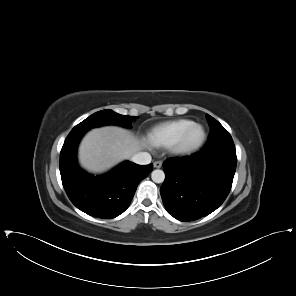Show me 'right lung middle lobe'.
Instances as JSON below:
<instances>
[{
  "mask_svg": "<svg viewBox=\"0 0 296 296\" xmlns=\"http://www.w3.org/2000/svg\"><path fill=\"white\" fill-rule=\"evenodd\" d=\"M133 116H124L112 110L98 111L84 121L75 126L72 130L87 131L93 127H99L108 124L120 125L123 127H130Z\"/></svg>",
  "mask_w": 296,
  "mask_h": 296,
  "instance_id": "obj_1",
  "label": "right lung middle lobe"
}]
</instances>
